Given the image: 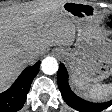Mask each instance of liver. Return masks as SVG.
I'll return each mask as SVG.
<instances>
[{
    "label": "liver",
    "instance_id": "liver-1",
    "mask_svg": "<svg viewBox=\"0 0 112 112\" xmlns=\"http://www.w3.org/2000/svg\"><path fill=\"white\" fill-rule=\"evenodd\" d=\"M26 3L8 19H0V91L23 70L22 56L43 54L54 45L72 43L73 21L62 8L65 0ZM100 36L95 43H102Z\"/></svg>",
    "mask_w": 112,
    "mask_h": 112
}]
</instances>
